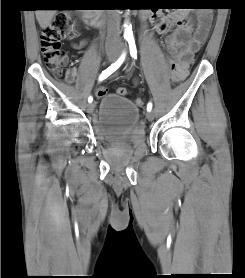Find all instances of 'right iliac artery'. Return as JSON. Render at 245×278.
<instances>
[{
	"label": "right iliac artery",
	"mask_w": 245,
	"mask_h": 278,
	"mask_svg": "<svg viewBox=\"0 0 245 278\" xmlns=\"http://www.w3.org/2000/svg\"><path fill=\"white\" fill-rule=\"evenodd\" d=\"M126 54L123 53L120 58L111 66H109L106 70L102 71L101 75L99 76V81H102L106 79L109 75H111L116 69L120 67V65L123 63L125 59ZM93 101V98L90 96L88 98V102L91 103Z\"/></svg>",
	"instance_id": "right-iliac-artery-1"
}]
</instances>
